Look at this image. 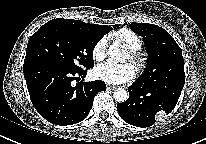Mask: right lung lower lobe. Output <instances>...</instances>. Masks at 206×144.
<instances>
[{
	"mask_svg": "<svg viewBox=\"0 0 206 144\" xmlns=\"http://www.w3.org/2000/svg\"><path fill=\"white\" fill-rule=\"evenodd\" d=\"M24 77L33 106L47 121L56 125L81 122L89 114L95 95L106 89L103 81H72L84 78L86 70L70 71L47 63L23 65Z\"/></svg>",
	"mask_w": 206,
	"mask_h": 144,
	"instance_id": "1",
	"label": "right lung lower lobe"
}]
</instances>
